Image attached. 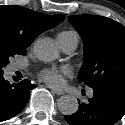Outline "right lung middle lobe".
I'll return each mask as SVG.
<instances>
[{
  "label": "right lung middle lobe",
  "instance_id": "1",
  "mask_svg": "<svg viewBox=\"0 0 125 125\" xmlns=\"http://www.w3.org/2000/svg\"><path fill=\"white\" fill-rule=\"evenodd\" d=\"M25 55L26 51H16L12 49L0 48V75H3V68L9 63V59L14 55Z\"/></svg>",
  "mask_w": 125,
  "mask_h": 125
}]
</instances>
